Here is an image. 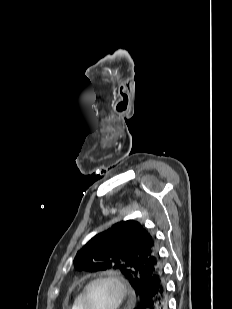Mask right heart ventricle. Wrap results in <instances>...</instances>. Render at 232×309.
Instances as JSON below:
<instances>
[{"instance_id":"e07e8e85","label":"right heart ventricle","mask_w":232,"mask_h":309,"mask_svg":"<svg viewBox=\"0 0 232 309\" xmlns=\"http://www.w3.org/2000/svg\"><path fill=\"white\" fill-rule=\"evenodd\" d=\"M71 309H82V305H81V293H79V294L75 297V299H74V301H73V303H72V305H71Z\"/></svg>"}]
</instances>
